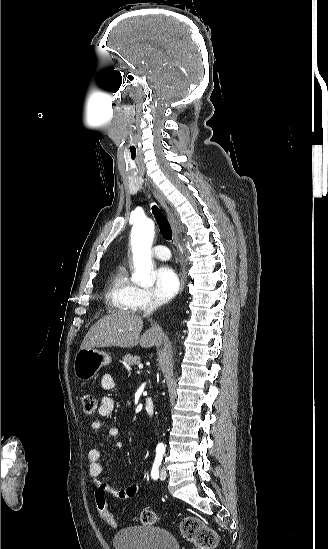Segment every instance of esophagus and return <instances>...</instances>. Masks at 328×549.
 <instances>
[{"mask_svg":"<svg viewBox=\"0 0 328 549\" xmlns=\"http://www.w3.org/2000/svg\"><path fill=\"white\" fill-rule=\"evenodd\" d=\"M156 199L158 200V202L161 204V206L164 208L166 214H167V217H168V220L170 221L171 223V226H172V229H173V237H174V240L175 242L177 243V240H178V232H179V225H178V221L175 217V215L173 214V212L169 209L168 205H167V202L166 200L159 194V192H157L155 189H152ZM179 278H180V289H179V294L181 295L183 290H184V279H183V276L181 274H179Z\"/></svg>","mask_w":328,"mask_h":549,"instance_id":"1","label":"esophagus"}]
</instances>
